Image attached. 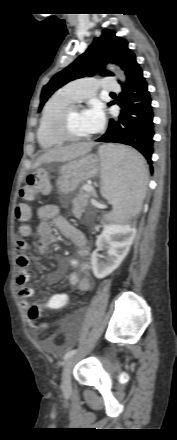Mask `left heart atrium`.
I'll return each mask as SVG.
<instances>
[{"label":"left heart atrium","mask_w":177,"mask_h":440,"mask_svg":"<svg viewBox=\"0 0 177 440\" xmlns=\"http://www.w3.org/2000/svg\"><path fill=\"white\" fill-rule=\"evenodd\" d=\"M84 123L87 131L92 134L99 131L105 121L103 107L100 103H93L82 111Z\"/></svg>","instance_id":"left-heart-atrium-1"}]
</instances>
